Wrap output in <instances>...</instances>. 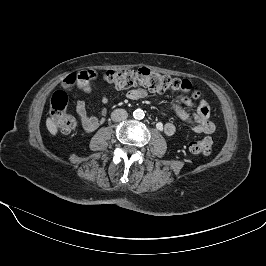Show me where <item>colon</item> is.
Instances as JSON below:
<instances>
[{"instance_id":"5ec220e1","label":"colon","mask_w":266,"mask_h":266,"mask_svg":"<svg viewBox=\"0 0 266 266\" xmlns=\"http://www.w3.org/2000/svg\"><path fill=\"white\" fill-rule=\"evenodd\" d=\"M94 78L95 74L91 71H83L76 75H70L65 79L63 89L53 93L50 101V117L62 132L69 133L78 124L77 119L66 112L69 102L66 89L76 84L79 89L89 91ZM104 79L117 89L143 86L155 92L191 93L193 99H200L199 93L191 92L192 87L188 80L163 75L145 67L139 69L109 70L104 74ZM203 102L204 100H200L199 104ZM212 146V138L204 137L190 142L189 150L196 155H208L212 151Z\"/></svg>"}]
</instances>
